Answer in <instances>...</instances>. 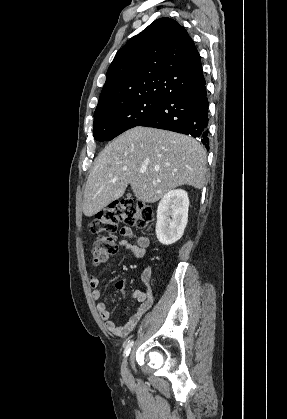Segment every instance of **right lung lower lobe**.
<instances>
[{"mask_svg": "<svg viewBox=\"0 0 287 419\" xmlns=\"http://www.w3.org/2000/svg\"><path fill=\"white\" fill-rule=\"evenodd\" d=\"M209 102L205 80L169 94L159 108L139 126L191 135L209 149Z\"/></svg>", "mask_w": 287, "mask_h": 419, "instance_id": "98d812e1", "label": "right lung lower lobe"}]
</instances>
